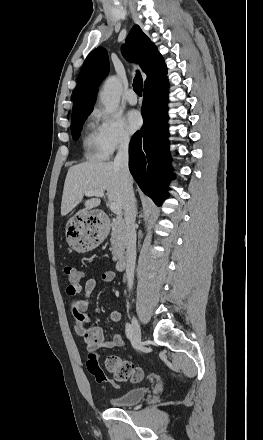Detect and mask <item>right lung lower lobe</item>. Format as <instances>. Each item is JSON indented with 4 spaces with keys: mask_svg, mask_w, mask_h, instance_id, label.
<instances>
[{
    "mask_svg": "<svg viewBox=\"0 0 263 440\" xmlns=\"http://www.w3.org/2000/svg\"><path fill=\"white\" fill-rule=\"evenodd\" d=\"M166 76V75H165ZM144 87L141 108L144 124L129 145V169L141 190L158 205L167 197L170 174L168 143V80Z\"/></svg>",
    "mask_w": 263,
    "mask_h": 440,
    "instance_id": "1",
    "label": "right lung lower lobe"
}]
</instances>
